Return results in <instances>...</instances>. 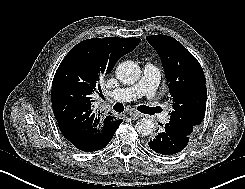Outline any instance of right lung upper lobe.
Listing matches in <instances>:
<instances>
[{"label": "right lung upper lobe", "instance_id": "obj_1", "mask_svg": "<svg viewBox=\"0 0 245 189\" xmlns=\"http://www.w3.org/2000/svg\"><path fill=\"white\" fill-rule=\"evenodd\" d=\"M139 43L135 37L92 38L74 46L62 60L53 79L51 99L55 118L67 140L92 132L99 115L93 109L92 95L100 87V78Z\"/></svg>", "mask_w": 245, "mask_h": 189}]
</instances>
